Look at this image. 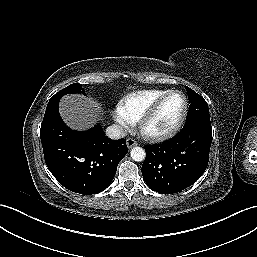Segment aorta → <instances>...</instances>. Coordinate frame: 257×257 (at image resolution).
Listing matches in <instances>:
<instances>
[{"instance_id":"obj_1","label":"aorta","mask_w":257,"mask_h":257,"mask_svg":"<svg viewBox=\"0 0 257 257\" xmlns=\"http://www.w3.org/2000/svg\"><path fill=\"white\" fill-rule=\"evenodd\" d=\"M131 158L134 161L140 162L143 161L145 159V151L143 148L141 147H134L132 148L131 152H130Z\"/></svg>"}]
</instances>
